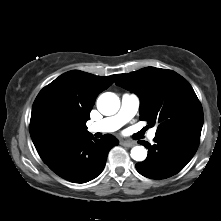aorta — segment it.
Masks as SVG:
<instances>
[{
  "instance_id": "obj_1",
  "label": "aorta",
  "mask_w": 221,
  "mask_h": 221,
  "mask_svg": "<svg viewBox=\"0 0 221 221\" xmlns=\"http://www.w3.org/2000/svg\"><path fill=\"white\" fill-rule=\"evenodd\" d=\"M120 107L119 97L111 92L103 93L97 100L98 110L106 116L115 114ZM131 158L135 161H144L147 157V150L143 146H135L131 149Z\"/></svg>"
}]
</instances>
